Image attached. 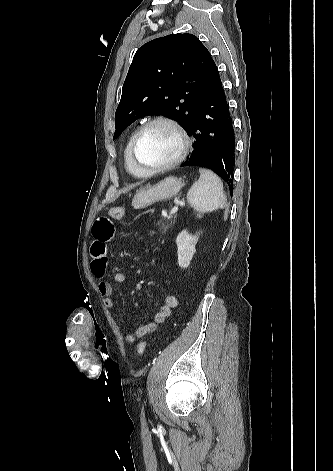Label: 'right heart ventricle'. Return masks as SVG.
<instances>
[{
    "mask_svg": "<svg viewBox=\"0 0 333 471\" xmlns=\"http://www.w3.org/2000/svg\"><path fill=\"white\" fill-rule=\"evenodd\" d=\"M136 132H137V129H134L133 131H131V133L129 134V136L126 140L124 151H123L124 166H125V169L127 170V172H129L131 175L136 176V177H144L146 175H143L134 166V164L131 160V154H130L131 144H132V140H133L134 135H135Z\"/></svg>",
    "mask_w": 333,
    "mask_h": 471,
    "instance_id": "right-heart-ventricle-1",
    "label": "right heart ventricle"
}]
</instances>
